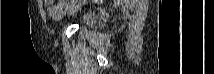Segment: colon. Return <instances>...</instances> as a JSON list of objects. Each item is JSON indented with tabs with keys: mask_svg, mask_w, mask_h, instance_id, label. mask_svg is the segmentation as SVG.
<instances>
[{
	"mask_svg": "<svg viewBox=\"0 0 214 74\" xmlns=\"http://www.w3.org/2000/svg\"><path fill=\"white\" fill-rule=\"evenodd\" d=\"M46 2H48V3H52L53 1H51V0H46ZM59 3H61V4H65L66 3V1H64V0H60V1H58ZM96 2H102V1H96Z\"/></svg>",
	"mask_w": 214,
	"mask_h": 74,
	"instance_id": "colon-1",
	"label": "colon"
}]
</instances>
